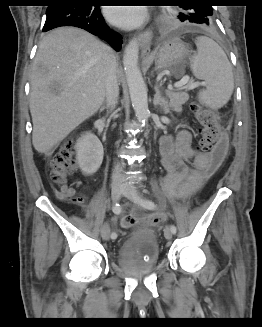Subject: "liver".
I'll return each mask as SVG.
<instances>
[{"label":"liver","instance_id":"6515ba94","mask_svg":"<svg viewBox=\"0 0 262 327\" xmlns=\"http://www.w3.org/2000/svg\"><path fill=\"white\" fill-rule=\"evenodd\" d=\"M112 49L90 33L63 27L40 42L31 76L32 143L49 154L93 116L106 95Z\"/></svg>","mask_w":262,"mask_h":327}]
</instances>
